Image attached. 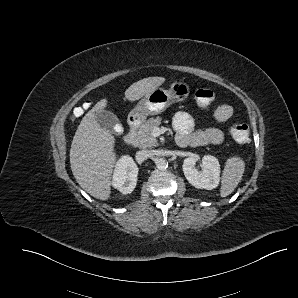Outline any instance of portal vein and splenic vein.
Segmentation results:
<instances>
[{
	"label": "portal vein and splenic vein",
	"instance_id": "18ae733b",
	"mask_svg": "<svg viewBox=\"0 0 298 298\" xmlns=\"http://www.w3.org/2000/svg\"><path fill=\"white\" fill-rule=\"evenodd\" d=\"M162 134L161 128L160 127H154L153 131H152V135L154 137H158Z\"/></svg>",
	"mask_w": 298,
	"mask_h": 298
}]
</instances>
